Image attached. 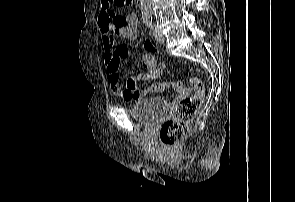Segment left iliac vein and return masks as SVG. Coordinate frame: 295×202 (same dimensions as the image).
Here are the masks:
<instances>
[{"instance_id":"1","label":"left iliac vein","mask_w":295,"mask_h":202,"mask_svg":"<svg viewBox=\"0 0 295 202\" xmlns=\"http://www.w3.org/2000/svg\"><path fill=\"white\" fill-rule=\"evenodd\" d=\"M152 30H153V35H154L155 40L158 43H163L165 41V37L163 36V34L158 29H156L154 26H152Z\"/></svg>"}]
</instances>
